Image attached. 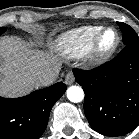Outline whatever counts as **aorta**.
<instances>
[{"label": "aorta", "mask_w": 139, "mask_h": 139, "mask_svg": "<svg viewBox=\"0 0 139 139\" xmlns=\"http://www.w3.org/2000/svg\"><path fill=\"white\" fill-rule=\"evenodd\" d=\"M67 98L73 103H79L84 99V91L79 86H71L67 89Z\"/></svg>", "instance_id": "1"}]
</instances>
